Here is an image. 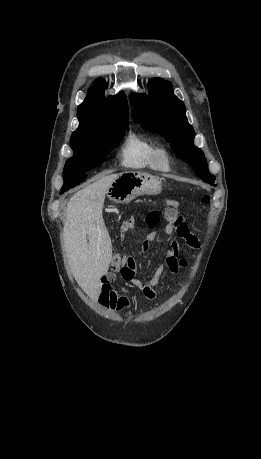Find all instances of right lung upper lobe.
Listing matches in <instances>:
<instances>
[{"label": "right lung upper lobe", "instance_id": "1", "mask_svg": "<svg viewBox=\"0 0 261 459\" xmlns=\"http://www.w3.org/2000/svg\"><path fill=\"white\" fill-rule=\"evenodd\" d=\"M106 83L97 80L95 88L89 89V94L78 106L77 116L79 127L72 135L84 131L101 129L120 124H128V103L123 92L117 96L105 98Z\"/></svg>", "mask_w": 261, "mask_h": 459}]
</instances>
